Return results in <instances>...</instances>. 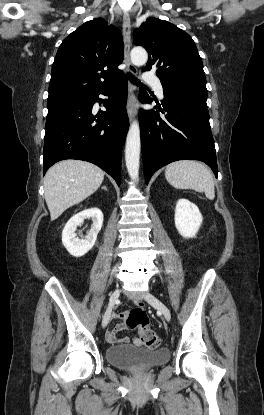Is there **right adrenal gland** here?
I'll return each instance as SVG.
<instances>
[{
    "label": "right adrenal gland",
    "mask_w": 264,
    "mask_h": 415,
    "mask_svg": "<svg viewBox=\"0 0 264 415\" xmlns=\"http://www.w3.org/2000/svg\"><path fill=\"white\" fill-rule=\"evenodd\" d=\"M102 189H104V190H106V191H107V188H106V186H103V187H102Z\"/></svg>",
    "instance_id": "2a0ac1e0"
}]
</instances>
